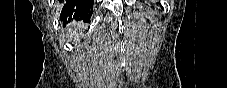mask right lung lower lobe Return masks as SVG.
Wrapping results in <instances>:
<instances>
[{
    "instance_id": "right-lung-lower-lobe-1",
    "label": "right lung lower lobe",
    "mask_w": 227,
    "mask_h": 88,
    "mask_svg": "<svg viewBox=\"0 0 227 88\" xmlns=\"http://www.w3.org/2000/svg\"><path fill=\"white\" fill-rule=\"evenodd\" d=\"M63 2L61 19L89 22L93 11V0H60Z\"/></svg>"
}]
</instances>
